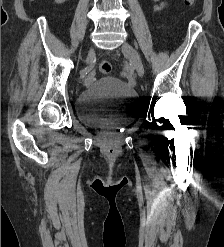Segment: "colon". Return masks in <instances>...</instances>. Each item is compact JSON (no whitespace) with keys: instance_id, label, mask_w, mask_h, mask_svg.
Segmentation results:
<instances>
[{"instance_id":"5ec220e1","label":"colon","mask_w":224,"mask_h":247,"mask_svg":"<svg viewBox=\"0 0 224 247\" xmlns=\"http://www.w3.org/2000/svg\"><path fill=\"white\" fill-rule=\"evenodd\" d=\"M193 2H194V0H186V3L188 5L193 4ZM111 70H112V66H111L110 62H108V61L100 62V64H99V72L101 74L107 75V74H109L111 72Z\"/></svg>"}]
</instances>
